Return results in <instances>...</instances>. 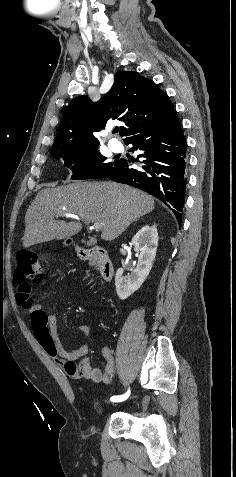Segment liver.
Instances as JSON below:
<instances>
[{
	"label": "liver",
	"mask_w": 236,
	"mask_h": 477,
	"mask_svg": "<svg viewBox=\"0 0 236 477\" xmlns=\"http://www.w3.org/2000/svg\"><path fill=\"white\" fill-rule=\"evenodd\" d=\"M154 205L152 196L115 182H76L45 188L26 212L23 246L76 235L82 224L56 220L61 212L77 215L88 223L102 224L101 238L112 241L132 222L151 212Z\"/></svg>",
	"instance_id": "liver-1"
}]
</instances>
